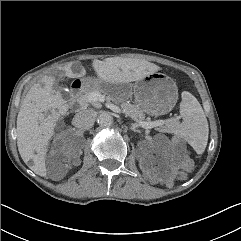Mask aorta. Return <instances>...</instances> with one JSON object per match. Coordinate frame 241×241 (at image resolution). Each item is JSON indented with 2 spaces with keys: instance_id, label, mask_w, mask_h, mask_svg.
<instances>
[{
  "instance_id": "aorta-1",
  "label": "aorta",
  "mask_w": 241,
  "mask_h": 241,
  "mask_svg": "<svg viewBox=\"0 0 241 241\" xmlns=\"http://www.w3.org/2000/svg\"><path fill=\"white\" fill-rule=\"evenodd\" d=\"M97 122L101 127H109L113 123V117L108 112H102L99 114Z\"/></svg>"
}]
</instances>
